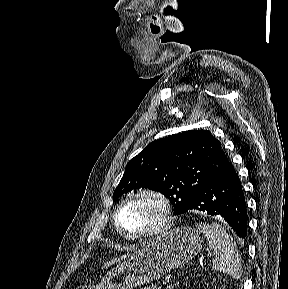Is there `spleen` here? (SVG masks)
<instances>
[{
  "mask_svg": "<svg viewBox=\"0 0 288 289\" xmlns=\"http://www.w3.org/2000/svg\"><path fill=\"white\" fill-rule=\"evenodd\" d=\"M196 227L205 235L214 252L213 268L239 280L242 276L241 255L233 238L217 223H199Z\"/></svg>",
  "mask_w": 288,
  "mask_h": 289,
  "instance_id": "1",
  "label": "spleen"
}]
</instances>
